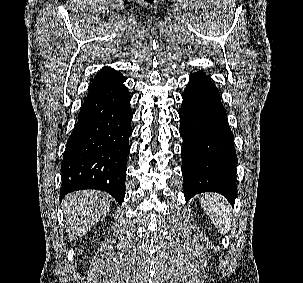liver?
Masks as SVG:
<instances>
[{
    "label": "liver",
    "mask_w": 303,
    "mask_h": 283,
    "mask_svg": "<svg viewBox=\"0 0 303 283\" xmlns=\"http://www.w3.org/2000/svg\"><path fill=\"white\" fill-rule=\"evenodd\" d=\"M110 210V198L101 191L68 194L63 200L64 225L70 241L84 236Z\"/></svg>",
    "instance_id": "obj_1"
}]
</instances>
